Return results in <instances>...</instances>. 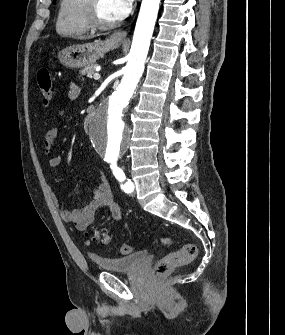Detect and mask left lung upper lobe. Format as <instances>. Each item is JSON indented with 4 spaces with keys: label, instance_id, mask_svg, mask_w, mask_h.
Segmentation results:
<instances>
[{
    "label": "left lung upper lobe",
    "instance_id": "1",
    "mask_svg": "<svg viewBox=\"0 0 285 335\" xmlns=\"http://www.w3.org/2000/svg\"><path fill=\"white\" fill-rule=\"evenodd\" d=\"M56 2V0H53V3H55Z\"/></svg>",
    "mask_w": 285,
    "mask_h": 335
}]
</instances>
